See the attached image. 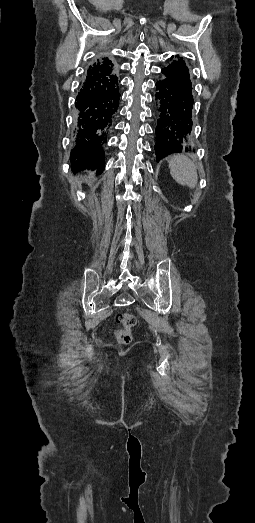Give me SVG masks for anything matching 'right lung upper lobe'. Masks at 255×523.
<instances>
[{
    "mask_svg": "<svg viewBox=\"0 0 255 523\" xmlns=\"http://www.w3.org/2000/svg\"><path fill=\"white\" fill-rule=\"evenodd\" d=\"M116 73L114 64L107 57L97 59L87 69L75 103L77 109L76 140L70 155L72 166L75 169H91L100 174L101 167L105 165L104 144L119 106V78ZM91 96L100 98V107L92 109V112L96 111L98 116L96 118L91 116L92 119L99 121V127L94 130L92 137L87 138L83 135V123L86 116L85 113L79 111V102L89 101ZM86 139L94 141V151L91 153L83 151V141Z\"/></svg>",
    "mask_w": 255,
    "mask_h": 523,
    "instance_id": "cb5924a9",
    "label": "right lung upper lobe"
}]
</instances>
